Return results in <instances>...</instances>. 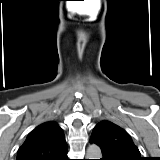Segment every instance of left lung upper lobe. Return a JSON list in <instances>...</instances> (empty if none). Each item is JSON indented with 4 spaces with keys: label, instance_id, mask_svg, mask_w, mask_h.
Listing matches in <instances>:
<instances>
[{
    "label": "left lung upper lobe",
    "instance_id": "left-lung-upper-lobe-1",
    "mask_svg": "<svg viewBox=\"0 0 160 160\" xmlns=\"http://www.w3.org/2000/svg\"><path fill=\"white\" fill-rule=\"evenodd\" d=\"M90 141L100 146L107 160H143L130 135L110 121L99 122L93 129Z\"/></svg>",
    "mask_w": 160,
    "mask_h": 160
}]
</instances>
